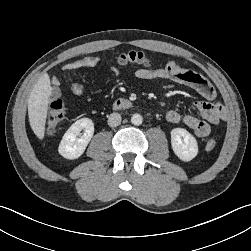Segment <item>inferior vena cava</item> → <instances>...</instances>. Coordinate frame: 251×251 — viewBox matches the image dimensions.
Wrapping results in <instances>:
<instances>
[{
	"instance_id": "602c4592",
	"label": "inferior vena cava",
	"mask_w": 251,
	"mask_h": 251,
	"mask_svg": "<svg viewBox=\"0 0 251 251\" xmlns=\"http://www.w3.org/2000/svg\"><path fill=\"white\" fill-rule=\"evenodd\" d=\"M121 115L118 113H112L108 117V125L110 127H117L121 123Z\"/></svg>"
}]
</instances>
